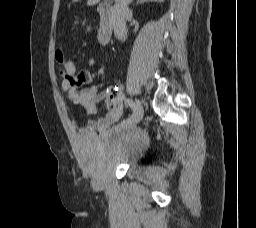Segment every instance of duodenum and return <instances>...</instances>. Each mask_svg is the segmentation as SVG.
Returning <instances> with one entry per match:
<instances>
[{
  "mask_svg": "<svg viewBox=\"0 0 256 228\" xmlns=\"http://www.w3.org/2000/svg\"><path fill=\"white\" fill-rule=\"evenodd\" d=\"M100 14V29L98 33V40L101 44H108L113 35L114 28V11L110 4L101 3L98 6Z\"/></svg>",
  "mask_w": 256,
  "mask_h": 228,
  "instance_id": "duodenum-1",
  "label": "duodenum"
}]
</instances>
